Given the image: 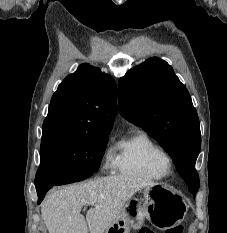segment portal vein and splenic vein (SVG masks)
<instances>
[{"label": "portal vein and splenic vein", "instance_id": "portal-vein-and-splenic-vein-1", "mask_svg": "<svg viewBox=\"0 0 227 233\" xmlns=\"http://www.w3.org/2000/svg\"><path fill=\"white\" fill-rule=\"evenodd\" d=\"M88 205H93V206H95L97 209H99V206H97V205H94L93 203H87Z\"/></svg>", "mask_w": 227, "mask_h": 233}]
</instances>
